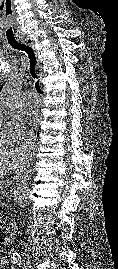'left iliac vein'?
<instances>
[{"label":"left iliac vein","instance_id":"4c4485c4","mask_svg":"<svg viewBox=\"0 0 118 269\" xmlns=\"http://www.w3.org/2000/svg\"><path fill=\"white\" fill-rule=\"evenodd\" d=\"M25 269H33L30 265L25 266Z\"/></svg>","mask_w":118,"mask_h":269}]
</instances>
